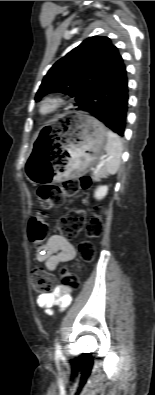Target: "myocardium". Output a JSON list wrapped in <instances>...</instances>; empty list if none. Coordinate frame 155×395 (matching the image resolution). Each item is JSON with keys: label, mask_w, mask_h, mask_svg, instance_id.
<instances>
[{"label": "myocardium", "mask_w": 155, "mask_h": 395, "mask_svg": "<svg viewBox=\"0 0 155 395\" xmlns=\"http://www.w3.org/2000/svg\"><path fill=\"white\" fill-rule=\"evenodd\" d=\"M63 102L59 97H46L43 99L38 107L39 115L42 118H47L60 110Z\"/></svg>", "instance_id": "1"}]
</instances>
